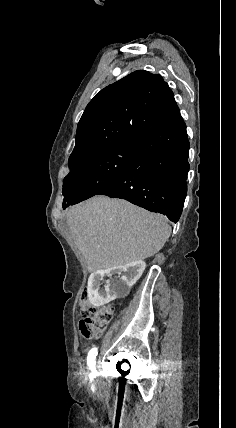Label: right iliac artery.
<instances>
[{"label":"right iliac artery","mask_w":236,"mask_h":428,"mask_svg":"<svg viewBox=\"0 0 236 428\" xmlns=\"http://www.w3.org/2000/svg\"><path fill=\"white\" fill-rule=\"evenodd\" d=\"M97 354H98L97 348H92L89 351L88 356H87V364L89 366V369L92 371V374L97 373L96 367H95V365H96L95 359H96Z\"/></svg>","instance_id":"obj_1"}]
</instances>
